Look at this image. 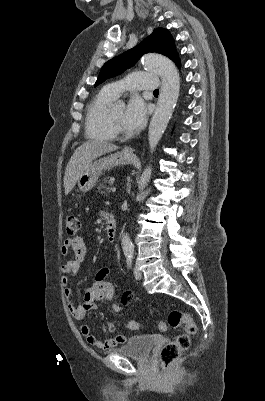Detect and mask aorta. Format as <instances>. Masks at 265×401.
<instances>
[{"label":"aorta","instance_id":"obj_1","mask_svg":"<svg viewBox=\"0 0 265 401\" xmlns=\"http://www.w3.org/2000/svg\"><path fill=\"white\" fill-rule=\"evenodd\" d=\"M141 62L148 70L157 72L162 80L157 106L148 130L149 144L151 152H153L164 130H166V126L176 106L180 90V76L174 62L170 58L162 56V54H145ZM151 172V166L144 168L139 188L146 186L149 178H151ZM121 245L124 255H134V247L128 233H122Z\"/></svg>","mask_w":265,"mask_h":401}]
</instances>
